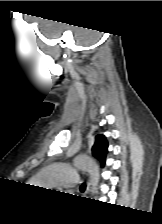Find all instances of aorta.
Returning a JSON list of instances; mask_svg holds the SVG:
<instances>
[{"instance_id": "762f6f07", "label": "aorta", "mask_w": 162, "mask_h": 224, "mask_svg": "<svg viewBox=\"0 0 162 224\" xmlns=\"http://www.w3.org/2000/svg\"><path fill=\"white\" fill-rule=\"evenodd\" d=\"M74 165L89 173L92 193H95L100 180V169L97 163L88 156L80 155L74 159Z\"/></svg>"}]
</instances>
